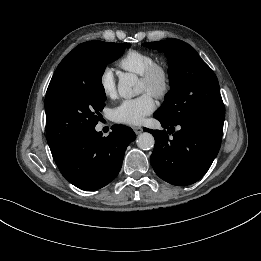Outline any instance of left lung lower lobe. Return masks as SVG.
<instances>
[{
	"label": "left lung lower lobe",
	"mask_w": 261,
	"mask_h": 261,
	"mask_svg": "<svg viewBox=\"0 0 261 261\" xmlns=\"http://www.w3.org/2000/svg\"><path fill=\"white\" fill-rule=\"evenodd\" d=\"M154 117L167 128V131L145 129L155 138L150 158L154 171L173 185L195 183L208 171L218 154L225 116L199 117L177 123ZM176 125L180 130L174 132Z\"/></svg>",
	"instance_id": "1"
}]
</instances>
